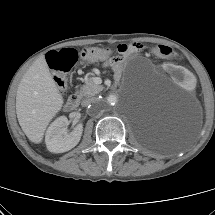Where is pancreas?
<instances>
[{"mask_svg":"<svg viewBox=\"0 0 215 215\" xmlns=\"http://www.w3.org/2000/svg\"><path fill=\"white\" fill-rule=\"evenodd\" d=\"M103 90V86L97 85L93 82L92 78H87L85 85H83L80 90L76 92L77 96L80 98L91 97L98 94Z\"/></svg>","mask_w":215,"mask_h":215,"instance_id":"1","label":"pancreas"}]
</instances>
